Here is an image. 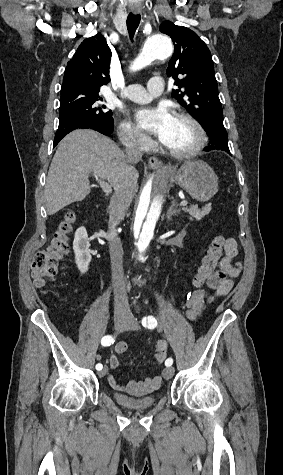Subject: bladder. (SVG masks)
<instances>
[{"instance_id":"31cf9c89","label":"bladder","mask_w":283,"mask_h":475,"mask_svg":"<svg viewBox=\"0 0 283 475\" xmlns=\"http://www.w3.org/2000/svg\"><path fill=\"white\" fill-rule=\"evenodd\" d=\"M112 400L127 410H148L157 403L158 396H145L142 398L130 397L121 392H115Z\"/></svg>"}]
</instances>
